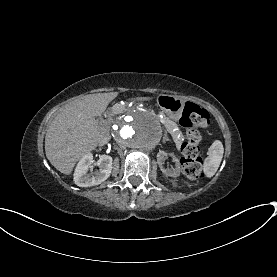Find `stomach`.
<instances>
[{
  "instance_id": "obj_1",
  "label": "stomach",
  "mask_w": 277,
  "mask_h": 277,
  "mask_svg": "<svg viewBox=\"0 0 277 277\" xmlns=\"http://www.w3.org/2000/svg\"><path fill=\"white\" fill-rule=\"evenodd\" d=\"M157 103L170 119H177L181 115L185 105V102L176 96L166 94L160 95Z\"/></svg>"
}]
</instances>
